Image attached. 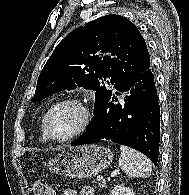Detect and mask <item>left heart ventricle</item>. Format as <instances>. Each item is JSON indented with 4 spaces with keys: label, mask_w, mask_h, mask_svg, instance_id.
<instances>
[{
    "label": "left heart ventricle",
    "mask_w": 189,
    "mask_h": 195,
    "mask_svg": "<svg viewBox=\"0 0 189 195\" xmlns=\"http://www.w3.org/2000/svg\"><path fill=\"white\" fill-rule=\"evenodd\" d=\"M83 121L82 110L73 104H65L53 111L49 128L53 136L65 137L75 132Z\"/></svg>",
    "instance_id": "b2bd125f"
}]
</instances>
